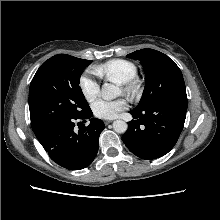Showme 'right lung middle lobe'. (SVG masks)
Wrapping results in <instances>:
<instances>
[{
	"label": "right lung middle lobe",
	"instance_id": "dd1d6c3e",
	"mask_svg": "<svg viewBox=\"0 0 220 220\" xmlns=\"http://www.w3.org/2000/svg\"><path fill=\"white\" fill-rule=\"evenodd\" d=\"M91 62L59 54L40 66L29 88L30 118L34 132L58 119L78 116L90 108L79 83L83 69Z\"/></svg>",
	"mask_w": 220,
	"mask_h": 220
}]
</instances>
